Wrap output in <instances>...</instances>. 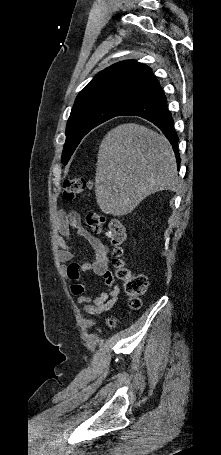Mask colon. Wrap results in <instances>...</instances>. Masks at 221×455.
<instances>
[{
	"label": "colon",
	"mask_w": 221,
	"mask_h": 455,
	"mask_svg": "<svg viewBox=\"0 0 221 455\" xmlns=\"http://www.w3.org/2000/svg\"><path fill=\"white\" fill-rule=\"evenodd\" d=\"M91 186V182L82 177L66 179L63 184V198L65 200H72ZM86 221L87 225L95 233L106 231L113 246L112 253L115 277L122 283L131 309L140 308L141 297L148 287V278L146 275L133 273L123 260V246L127 239L123 224L118 219H109L106 215L96 212L88 214ZM113 323L112 320L109 321V325Z\"/></svg>",
	"instance_id": "1"
}]
</instances>
